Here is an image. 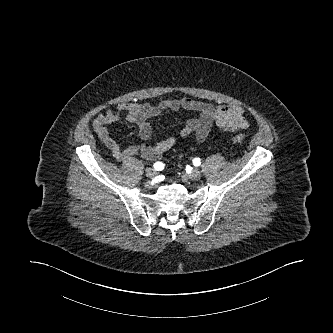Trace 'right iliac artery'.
<instances>
[{"label":"right iliac artery","mask_w":333,"mask_h":333,"mask_svg":"<svg viewBox=\"0 0 333 333\" xmlns=\"http://www.w3.org/2000/svg\"><path fill=\"white\" fill-rule=\"evenodd\" d=\"M153 167H154V169H155L156 171H160V170H162V169L164 168V164L161 163V162H156V163L153 165Z\"/></svg>","instance_id":"obj_1"}]
</instances>
